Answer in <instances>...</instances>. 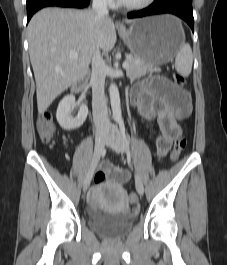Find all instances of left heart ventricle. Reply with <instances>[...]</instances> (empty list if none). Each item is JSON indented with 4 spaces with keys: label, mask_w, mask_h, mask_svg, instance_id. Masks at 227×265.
<instances>
[{
    "label": "left heart ventricle",
    "mask_w": 227,
    "mask_h": 265,
    "mask_svg": "<svg viewBox=\"0 0 227 265\" xmlns=\"http://www.w3.org/2000/svg\"><path fill=\"white\" fill-rule=\"evenodd\" d=\"M121 1H123L126 4H138L143 2L144 0H121Z\"/></svg>",
    "instance_id": "b2bd125f"
}]
</instances>
